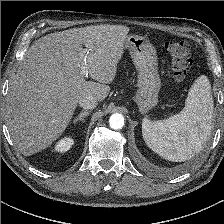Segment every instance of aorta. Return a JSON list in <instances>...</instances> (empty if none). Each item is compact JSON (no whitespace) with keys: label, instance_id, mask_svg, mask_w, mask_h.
I'll return each instance as SVG.
<instances>
[{"label":"aorta","instance_id":"aorta-1","mask_svg":"<svg viewBox=\"0 0 224 224\" xmlns=\"http://www.w3.org/2000/svg\"><path fill=\"white\" fill-rule=\"evenodd\" d=\"M109 124L112 129L118 130L124 126V117L122 114L115 113L111 115Z\"/></svg>","mask_w":224,"mask_h":224}]
</instances>
